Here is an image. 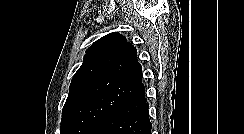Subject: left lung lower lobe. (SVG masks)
Wrapping results in <instances>:
<instances>
[{
    "label": "left lung lower lobe",
    "instance_id": "left-lung-lower-lobe-1",
    "mask_svg": "<svg viewBox=\"0 0 244 134\" xmlns=\"http://www.w3.org/2000/svg\"><path fill=\"white\" fill-rule=\"evenodd\" d=\"M145 93L115 110L95 134H151Z\"/></svg>",
    "mask_w": 244,
    "mask_h": 134
}]
</instances>
